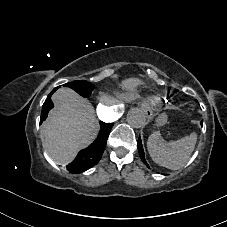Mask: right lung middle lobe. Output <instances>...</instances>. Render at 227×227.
I'll use <instances>...</instances> for the list:
<instances>
[{
  "instance_id": "obj_1",
  "label": "right lung middle lobe",
  "mask_w": 227,
  "mask_h": 227,
  "mask_svg": "<svg viewBox=\"0 0 227 227\" xmlns=\"http://www.w3.org/2000/svg\"><path fill=\"white\" fill-rule=\"evenodd\" d=\"M64 86L75 90L78 94L82 95L83 97H89L91 95V92L94 89V85L86 80L72 81V82L64 84ZM58 88H59V86L56 87L55 89H53L51 91V93L48 95L47 99L45 100V102L43 104L42 111L47 110L48 106L50 105L51 95Z\"/></svg>"
}]
</instances>
